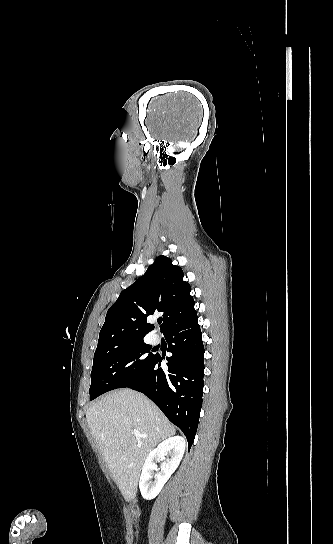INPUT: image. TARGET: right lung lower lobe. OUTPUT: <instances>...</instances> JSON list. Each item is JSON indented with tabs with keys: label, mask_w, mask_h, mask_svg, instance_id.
Segmentation results:
<instances>
[{
	"label": "right lung lower lobe",
	"mask_w": 333,
	"mask_h": 544,
	"mask_svg": "<svg viewBox=\"0 0 333 544\" xmlns=\"http://www.w3.org/2000/svg\"><path fill=\"white\" fill-rule=\"evenodd\" d=\"M168 342V370L156 354L143 375L126 386L144 393L185 434L192 446L202 407L204 346L197 314L172 324L164 331Z\"/></svg>",
	"instance_id": "right-lung-lower-lobe-1"
}]
</instances>
